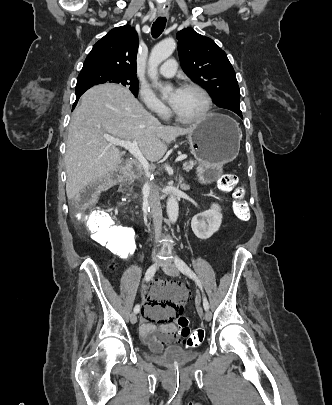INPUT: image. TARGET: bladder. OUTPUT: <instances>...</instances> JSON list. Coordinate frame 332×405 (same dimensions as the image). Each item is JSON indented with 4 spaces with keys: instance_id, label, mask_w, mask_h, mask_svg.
Wrapping results in <instances>:
<instances>
[{
    "instance_id": "bladder-1",
    "label": "bladder",
    "mask_w": 332,
    "mask_h": 405,
    "mask_svg": "<svg viewBox=\"0 0 332 405\" xmlns=\"http://www.w3.org/2000/svg\"><path fill=\"white\" fill-rule=\"evenodd\" d=\"M146 349L142 352V357L157 364L166 366H182L195 360L199 352L187 350L177 345L155 344L150 345L144 341Z\"/></svg>"
}]
</instances>
